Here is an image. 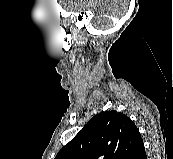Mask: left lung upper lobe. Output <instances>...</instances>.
I'll return each instance as SVG.
<instances>
[{"label": "left lung upper lobe", "instance_id": "1", "mask_svg": "<svg viewBox=\"0 0 173 159\" xmlns=\"http://www.w3.org/2000/svg\"><path fill=\"white\" fill-rule=\"evenodd\" d=\"M142 142L129 117L105 111L91 118L55 159H128Z\"/></svg>", "mask_w": 173, "mask_h": 159}]
</instances>
